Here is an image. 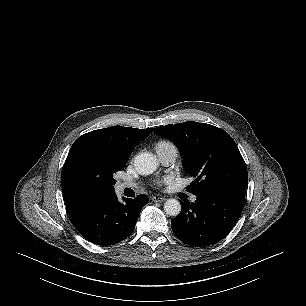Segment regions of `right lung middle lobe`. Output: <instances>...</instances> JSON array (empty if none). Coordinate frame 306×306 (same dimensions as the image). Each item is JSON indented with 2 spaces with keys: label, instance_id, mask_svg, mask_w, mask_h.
Wrapping results in <instances>:
<instances>
[{
  "label": "right lung middle lobe",
  "instance_id": "dd1d6c3e",
  "mask_svg": "<svg viewBox=\"0 0 306 306\" xmlns=\"http://www.w3.org/2000/svg\"><path fill=\"white\" fill-rule=\"evenodd\" d=\"M128 159L80 149L66 163L63 177L67 185L85 197L115 194L114 174L125 168Z\"/></svg>",
  "mask_w": 306,
  "mask_h": 306
}]
</instances>
